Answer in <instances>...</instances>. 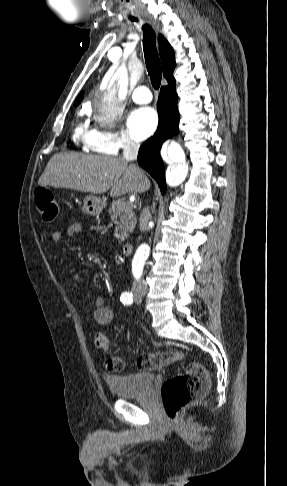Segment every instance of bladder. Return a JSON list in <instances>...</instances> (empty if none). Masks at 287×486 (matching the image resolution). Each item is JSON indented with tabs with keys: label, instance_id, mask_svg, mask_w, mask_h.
I'll return each instance as SVG.
<instances>
[{
	"label": "bladder",
	"instance_id": "obj_1",
	"mask_svg": "<svg viewBox=\"0 0 287 486\" xmlns=\"http://www.w3.org/2000/svg\"><path fill=\"white\" fill-rule=\"evenodd\" d=\"M105 382L114 395L126 399L147 394L153 387L155 375L152 373L107 375Z\"/></svg>",
	"mask_w": 287,
	"mask_h": 486
}]
</instances>
